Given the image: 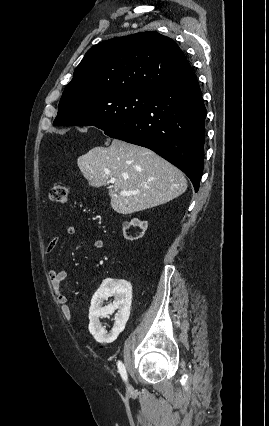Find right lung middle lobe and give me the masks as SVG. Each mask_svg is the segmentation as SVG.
<instances>
[{"mask_svg": "<svg viewBox=\"0 0 269 426\" xmlns=\"http://www.w3.org/2000/svg\"><path fill=\"white\" fill-rule=\"evenodd\" d=\"M151 92H111L92 98L62 97L53 125L95 126L107 130L137 116L147 106Z\"/></svg>", "mask_w": 269, "mask_h": 426, "instance_id": "right-lung-middle-lobe-1", "label": "right lung middle lobe"}]
</instances>
